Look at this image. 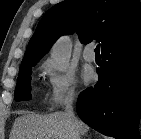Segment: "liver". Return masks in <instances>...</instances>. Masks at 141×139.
<instances>
[{"mask_svg": "<svg viewBox=\"0 0 141 139\" xmlns=\"http://www.w3.org/2000/svg\"><path fill=\"white\" fill-rule=\"evenodd\" d=\"M77 120L80 134L89 130V126ZM70 120L64 112L47 115L24 113L15 119L10 139H73Z\"/></svg>", "mask_w": 141, "mask_h": 139, "instance_id": "obj_1", "label": "liver"}]
</instances>
